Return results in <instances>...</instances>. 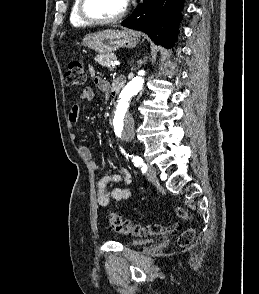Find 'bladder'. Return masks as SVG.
<instances>
[{
	"label": "bladder",
	"mask_w": 259,
	"mask_h": 294,
	"mask_svg": "<svg viewBox=\"0 0 259 294\" xmlns=\"http://www.w3.org/2000/svg\"><path fill=\"white\" fill-rule=\"evenodd\" d=\"M145 241L143 240H131L128 242V245L131 247L142 245Z\"/></svg>",
	"instance_id": "31cf9c89"
}]
</instances>
